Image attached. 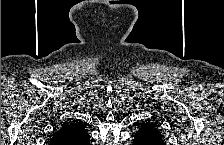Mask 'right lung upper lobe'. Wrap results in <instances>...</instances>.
Here are the masks:
<instances>
[{"label": "right lung upper lobe", "mask_w": 224, "mask_h": 145, "mask_svg": "<svg viewBox=\"0 0 224 145\" xmlns=\"http://www.w3.org/2000/svg\"><path fill=\"white\" fill-rule=\"evenodd\" d=\"M90 138L84 127L77 122L64 125L52 137L50 145H84Z\"/></svg>", "instance_id": "1"}]
</instances>
